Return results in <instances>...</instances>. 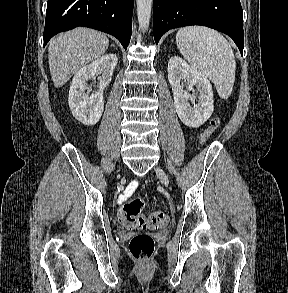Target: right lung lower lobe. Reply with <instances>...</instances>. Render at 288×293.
<instances>
[{
    "instance_id": "1",
    "label": "right lung lower lobe",
    "mask_w": 288,
    "mask_h": 293,
    "mask_svg": "<svg viewBox=\"0 0 288 293\" xmlns=\"http://www.w3.org/2000/svg\"><path fill=\"white\" fill-rule=\"evenodd\" d=\"M133 6L134 0H48L44 46L57 33L83 26L113 35L127 49Z\"/></svg>"
}]
</instances>
